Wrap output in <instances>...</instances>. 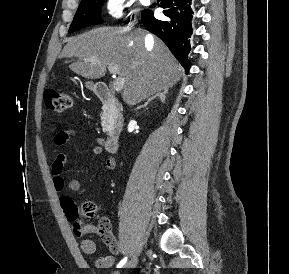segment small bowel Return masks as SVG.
Masks as SVG:
<instances>
[{
  "instance_id": "c3829d8e",
  "label": "small bowel",
  "mask_w": 289,
  "mask_h": 274,
  "mask_svg": "<svg viewBox=\"0 0 289 274\" xmlns=\"http://www.w3.org/2000/svg\"><path fill=\"white\" fill-rule=\"evenodd\" d=\"M77 134V131L74 129L69 130H60L58 131L53 138L54 144L57 147L64 146L73 136ZM98 145L92 148V154L95 156L101 155L103 152L102 147L100 144L102 140L100 138L97 139ZM68 156L64 152H60L56 155L53 160L51 166V175H52V183L55 191L62 192L65 188V180L63 177V170L64 166L67 162ZM115 167V160L108 156L104 161V169L105 170H112ZM68 187L72 191H79L81 188L80 182L76 179H73L69 182ZM85 233H98L97 228L89 227L84 231H77L75 230V234L77 236H82ZM102 238L103 242L107 245L109 250L111 251V255H103L99 256L95 260V266L100 269L109 268L112 266L115 260V256L120 252V246L117 240L115 239L112 232L109 234V238L105 237L104 235L98 233ZM81 251L86 255H93L96 252V243L93 239L84 238L80 242Z\"/></svg>"
}]
</instances>
